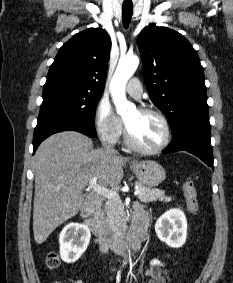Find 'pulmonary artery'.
<instances>
[{
  "label": "pulmonary artery",
  "mask_w": 233,
  "mask_h": 283,
  "mask_svg": "<svg viewBox=\"0 0 233 283\" xmlns=\"http://www.w3.org/2000/svg\"><path fill=\"white\" fill-rule=\"evenodd\" d=\"M126 91L131 97L140 99L142 95V86L139 80L137 78H132L126 86Z\"/></svg>",
  "instance_id": "obj_1"
}]
</instances>
